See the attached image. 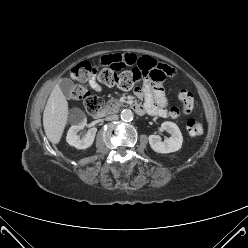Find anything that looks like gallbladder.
Masks as SVG:
<instances>
[{"label":"gallbladder","mask_w":248,"mask_h":248,"mask_svg":"<svg viewBox=\"0 0 248 248\" xmlns=\"http://www.w3.org/2000/svg\"><path fill=\"white\" fill-rule=\"evenodd\" d=\"M60 89L62 91V93L66 96V97H70L72 89L74 87V83L72 80L70 79H64L63 81H61V83L59 84Z\"/></svg>","instance_id":"obj_1"}]
</instances>
